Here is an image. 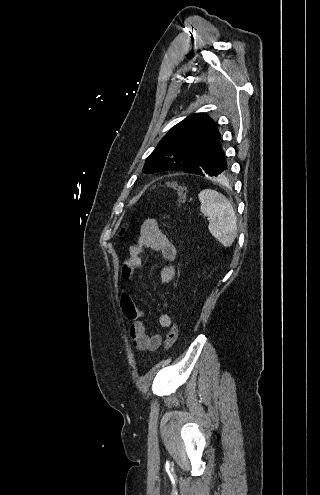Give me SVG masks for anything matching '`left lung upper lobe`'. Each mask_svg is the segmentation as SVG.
<instances>
[{
    "mask_svg": "<svg viewBox=\"0 0 320 495\" xmlns=\"http://www.w3.org/2000/svg\"><path fill=\"white\" fill-rule=\"evenodd\" d=\"M220 137L217 125L207 114H192L169 130L148 156L143 170L185 171L210 152Z\"/></svg>",
    "mask_w": 320,
    "mask_h": 495,
    "instance_id": "1",
    "label": "left lung upper lobe"
}]
</instances>
